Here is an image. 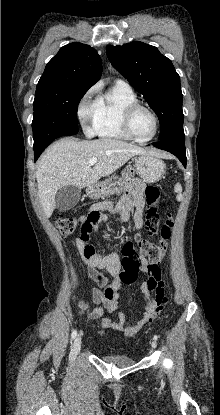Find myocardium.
Here are the masks:
<instances>
[{
  "mask_svg": "<svg viewBox=\"0 0 220 415\" xmlns=\"http://www.w3.org/2000/svg\"><path fill=\"white\" fill-rule=\"evenodd\" d=\"M138 109H144L147 112H149L151 114L153 120H154V132L150 137H148L146 139L137 138L131 131V126H130L131 118H132V115L134 114V112ZM121 127H122L124 133L126 134V136L129 139H131L135 142H138V143H147V142L151 141L152 139H154L156 137V135L159 131V119H158L157 114L155 113V111L152 108L136 101V102L128 104L122 110V113H121Z\"/></svg>",
  "mask_w": 220,
  "mask_h": 415,
  "instance_id": "obj_1",
  "label": "myocardium"
}]
</instances>
